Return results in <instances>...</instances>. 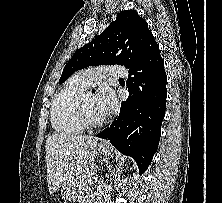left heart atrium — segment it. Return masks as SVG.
I'll use <instances>...</instances> for the list:
<instances>
[{
	"label": "left heart atrium",
	"mask_w": 222,
	"mask_h": 203,
	"mask_svg": "<svg viewBox=\"0 0 222 203\" xmlns=\"http://www.w3.org/2000/svg\"><path fill=\"white\" fill-rule=\"evenodd\" d=\"M95 97L97 106L103 114L107 115L114 110L116 99L110 89H102Z\"/></svg>",
	"instance_id": "39dd6f15"
}]
</instances>
